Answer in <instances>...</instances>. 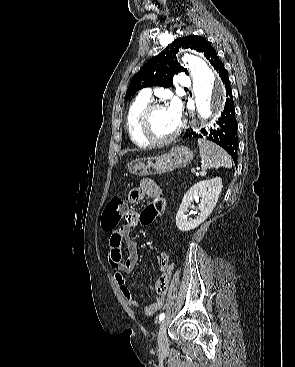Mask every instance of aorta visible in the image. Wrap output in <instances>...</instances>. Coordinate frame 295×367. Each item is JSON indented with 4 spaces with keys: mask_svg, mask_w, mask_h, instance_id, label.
I'll use <instances>...</instances> for the list:
<instances>
[{
    "mask_svg": "<svg viewBox=\"0 0 295 367\" xmlns=\"http://www.w3.org/2000/svg\"><path fill=\"white\" fill-rule=\"evenodd\" d=\"M193 78V91L199 117L208 120L221 110L225 101V89L217 74L201 58L186 55L182 58Z\"/></svg>",
    "mask_w": 295,
    "mask_h": 367,
    "instance_id": "1",
    "label": "aorta"
}]
</instances>
